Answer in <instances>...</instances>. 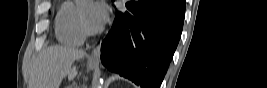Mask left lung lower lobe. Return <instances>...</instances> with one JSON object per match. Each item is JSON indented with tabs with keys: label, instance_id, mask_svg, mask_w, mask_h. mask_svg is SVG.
<instances>
[{
	"label": "left lung lower lobe",
	"instance_id": "left-lung-lower-lobe-1",
	"mask_svg": "<svg viewBox=\"0 0 267 88\" xmlns=\"http://www.w3.org/2000/svg\"><path fill=\"white\" fill-rule=\"evenodd\" d=\"M116 13L101 61L142 88H159L179 42L184 0H133Z\"/></svg>",
	"mask_w": 267,
	"mask_h": 88
}]
</instances>
